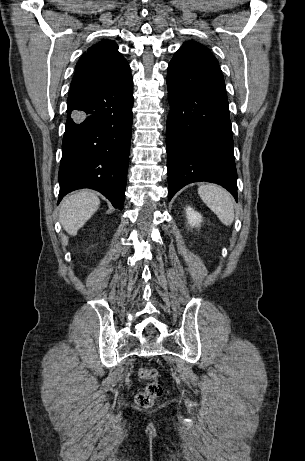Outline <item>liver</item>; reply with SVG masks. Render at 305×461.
<instances>
[{
    "mask_svg": "<svg viewBox=\"0 0 305 461\" xmlns=\"http://www.w3.org/2000/svg\"><path fill=\"white\" fill-rule=\"evenodd\" d=\"M99 205V198L89 190H81L64 198L60 207V221L65 231L76 235L98 210Z\"/></svg>",
    "mask_w": 305,
    "mask_h": 461,
    "instance_id": "1",
    "label": "liver"
}]
</instances>
